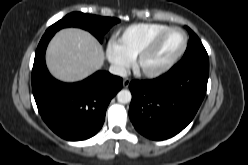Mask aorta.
Here are the masks:
<instances>
[{"mask_svg": "<svg viewBox=\"0 0 248 165\" xmlns=\"http://www.w3.org/2000/svg\"><path fill=\"white\" fill-rule=\"evenodd\" d=\"M132 95L129 90H121L117 94V100L119 103L127 104L131 101Z\"/></svg>", "mask_w": 248, "mask_h": 165, "instance_id": "obj_1", "label": "aorta"}]
</instances>
